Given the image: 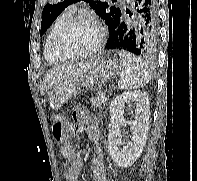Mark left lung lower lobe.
<instances>
[{"instance_id": "0a47b994", "label": "left lung lower lobe", "mask_w": 197, "mask_h": 181, "mask_svg": "<svg viewBox=\"0 0 197 181\" xmlns=\"http://www.w3.org/2000/svg\"><path fill=\"white\" fill-rule=\"evenodd\" d=\"M158 0H134L135 13H130L133 22L120 21L109 25L106 49L128 51L142 57H153L158 45Z\"/></svg>"}]
</instances>
